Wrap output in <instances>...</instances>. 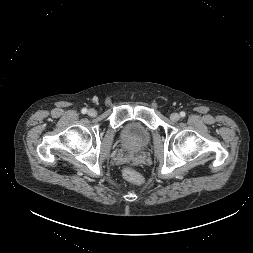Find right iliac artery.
<instances>
[{
  "instance_id": "right-iliac-artery-1",
  "label": "right iliac artery",
  "mask_w": 253,
  "mask_h": 253,
  "mask_svg": "<svg viewBox=\"0 0 253 253\" xmlns=\"http://www.w3.org/2000/svg\"><path fill=\"white\" fill-rule=\"evenodd\" d=\"M81 112H82L83 114H85V113H87V109H86V108H83V109L81 110Z\"/></svg>"
}]
</instances>
